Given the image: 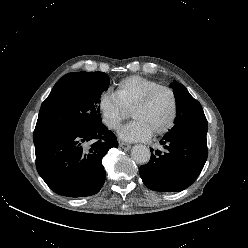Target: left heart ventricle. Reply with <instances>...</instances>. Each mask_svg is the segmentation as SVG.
Returning a JSON list of instances; mask_svg holds the SVG:
<instances>
[{"label": "left heart ventricle", "mask_w": 248, "mask_h": 248, "mask_svg": "<svg viewBox=\"0 0 248 248\" xmlns=\"http://www.w3.org/2000/svg\"><path fill=\"white\" fill-rule=\"evenodd\" d=\"M172 112V98L169 92L162 90L154 95L151 101L143 108L130 112L133 119L144 123L153 133L163 127L170 118Z\"/></svg>", "instance_id": "1"}]
</instances>
